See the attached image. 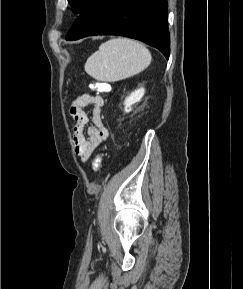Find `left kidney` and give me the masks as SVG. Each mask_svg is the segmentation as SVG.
<instances>
[{
	"label": "left kidney",
	"instance_id": "1",
	"mask_svg": "<svg viewBox=\"0 0 243 289\" xmlns=\"http://www.w3.org/2000/svg\"><path fill=\"white\" fill-rule=\"evenodd\" d=\"M145 89L144 88H139L132 92L128 97H126L124 101V111L126 113H129L132 111V105L139 102L142 97L144 96Z\"/></svg>",
	"mask_w": 243,
	"mask_h": 289
}]
</instances>
